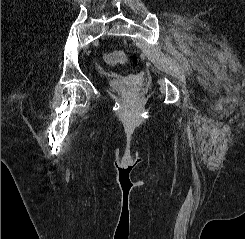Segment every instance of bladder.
<instances>
[{"label": "bladder", "instance_id": "1", "mask_svg": "<svg viewBox=\"0 0 245 239\" xmlns=\"http://www.w3.org/2000/svg\"><path fill=\"white\" fill-rule=\"evenodd\" d=\"M111 87L115 90L122 92L124 94H129L131 91L137 87V84L132 82L129 78H123L114 80L110 83Z\"/></svg>", "mask_w": 245, "mask_h": 239}]
</instances>
